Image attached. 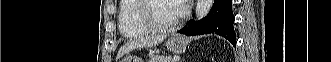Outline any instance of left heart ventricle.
<instances>
[{"mask_svg": "<svg viewBox=\"0 0 331 62\" xmlns=\"http://www.w3.org/2000/svg\"><path fill=\"white\" fill-rule=\"evenodd\" d=\"M150 17L159 25L174 22L180 15L176 1L153 0L149 8Z\"/></svg>", "mask_w": 331, "mask_h": 62, "instance_id": "obj_1", "label": "left heart ventricle"}]
</instances>
